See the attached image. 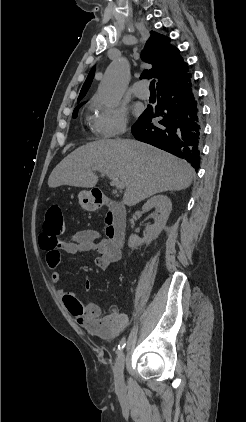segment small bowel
<instances>
[{
  "label": "small bowel",
  "instance_id": "c3829d8e",
  "mask_svg": "<svg viewBox=\"0 0 246 422\" xmlns=\"http://www.w3.org/2000/svg\"><path fill=\"white\" fill-rule=\"evenodd\" d=\"M39 240L41 248L46 252L47 265L52 269L51 281L54 284L61 280L58 266L61 262L62 252L75 255L94 250L99 254L94 258V264L101 270H106L110 264L117 262L121 257L119 247L110 239L100 237V234L92 229L77 231L71 238L65 240L44 231ZM90 289L91 283L86 281L85 290L89 291ZM58 295L76 322L92 334L112 338L128 325V317L116 308H111L109 313H104L97 304H82L72 292L60 289Z\"/></svg>",
  "mask_w": 246,
  "mask_h": 422
}]
</instances>
